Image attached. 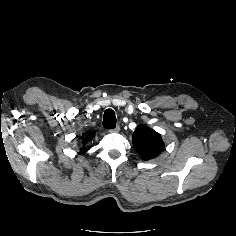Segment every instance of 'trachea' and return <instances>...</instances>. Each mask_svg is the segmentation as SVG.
<instances>
[{
    "label": "trachea",
    "instance_id": "1",
    "mask_svg": "<svg viewBox=\"0 0 236 236\" xmlns=\"http://www.w3.org/2000/svg\"><path fill=\"white\" fill-rule=\"evenodd\" d=\"M103 126L106 129H113L116 127V116L112 109H107L103 115Z\"/></svg>",
    "mask_w": 236,
    "mask_h": 236
}]
</instances>
